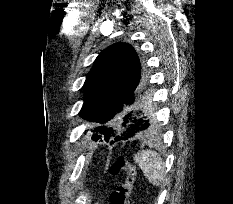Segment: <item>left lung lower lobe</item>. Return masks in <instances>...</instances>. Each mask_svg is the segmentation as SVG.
<instances>
[{
	"label": "left lung lower lobe",
	"mask_w": 233,
	"mask_h": 204,
	"mask_svg": "<svg viewBox=\"0 0 233 204\" xmlns=\"http://www.w3.org/2000/svg\"><path fill=\"white\" fill-rule=\"evenodd\" d=\"M142 80V79H141ZM134 84L124 95L122 100L121 109L127 105H131L134 101L138 102L137 106L139 108L136 110H131L125 117L123 126H125V130L121 135H118L114 138L115 141L119 140H127L129 137L134 136L136 133L141 131H151L153 129V123H151V114H152V106L148 104L149 92L143 93L140 89V82ZM135 94H137V98H135Z\"/></svg>",
	"instance_id": "left-lung-lower-lobe-1"
}]
</instances>
